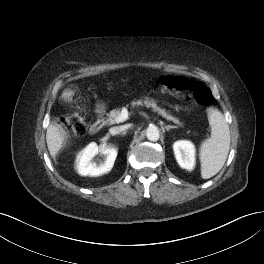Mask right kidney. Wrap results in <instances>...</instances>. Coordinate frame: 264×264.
I'll return each instance as SVG.
<instances>
[{
    "label": "right kidney",
    "instance_id": "obj_1",
    "mask_svg": "<svg viewBox=\"0 0 264 264\" xmlns=\"http://www.w3.org/2000/svg\"><path fill=\"white\" fill-rule=\"evenodd\" d=\"M99 152L105 155L106 159L104 162L97 164L96 162H93V158ZM117 154V149L114 147H104L100 150L96 143H90L77 155V171L82 176L91 177L108 173L114 165Z\"/></svg>",
    "mask_w": 264,
    "mask_h": 264
}]
</instances>
